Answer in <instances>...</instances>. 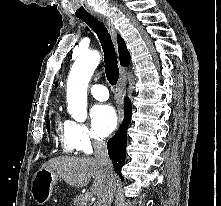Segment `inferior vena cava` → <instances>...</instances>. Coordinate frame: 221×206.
Wrapping results in <instances>:
<instances>
[{"instance_id":"1","label":"inferior vena cava","mask_w":221,"mask_h":206,"mask_svg":"<svg viewBox=\"0 0 221 206\" xmlns=\"http://www.w3.org/2000/svg\"><path fill=\"white\" fill-rule=\"evenodd\" d=\"M93 147L95 159L101 166L105 177L102 193L98 196L95 206H110L116 190V177L113 166L108 156L106 143L102 139H95Z\"/></svg>"}]
</instances>
